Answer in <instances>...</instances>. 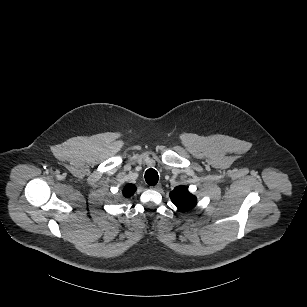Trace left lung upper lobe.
I'll return each instance as SVG.
<instances>
[{"mask_svg":"<svg viewBox=\"0 0 307 307\" xmlns=\"http://www.w3.org/2000/svg\"><path fill=\"white\" fill-rule=\"evenodd\" d=\"M172 202L180 211H187L195 207L197 199L189 193L187 187L178 186L170 193Z\"/></svg>","mask_w":307,"mask_h":307,"instance_id":"5c2ea615","label":"left lung upper lobe"}]
</instances>
